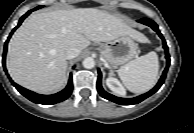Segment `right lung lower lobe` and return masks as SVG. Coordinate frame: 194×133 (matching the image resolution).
Returning <instances> with one entry per match:
<instances>
[{
	"label": "right lung lower lobe",
	"mask_w": 194,
	"mask_h": 133,
	"mask_svg": "<svg viewBox=\"0 0 194 133\" xmlns=\"http://www.w3.org/2000/svg\"><path fill=\"white\" fill-rule=\"evenodd\" d=\"M34 10H30L28 11L25 15H23L20 20L18 25L12 30V32L10 33L8 39L5 42V46H4V51H3V68L6 71V65H5V60H6V51H7V46H8V41L10 39V37L12 36V34L14 33V31L21 25V23L23 22V20ZM7 73V71H6ZM9 77V76H8ZM11 83L16 87V89L26 98H28L30 101L37 103V104H44V105H50V104H55L61 101L66 100L72 93V89H73V85H72V74H70V78H69V82L67 87L62 90L59 93L53 94V95H41V94H37L34 93L30 90H27L19 85H17L16 83H14L11 79H10Z\"/></svg>",
	"instance_id": "right-lung-lower-lobe-1"
}]
</instances>
